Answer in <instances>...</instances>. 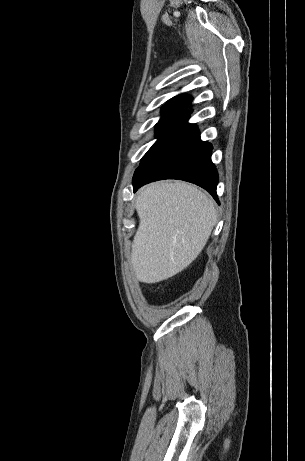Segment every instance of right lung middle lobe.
Listing matches in <instances>:
<instances>
[{
	"instance_id": "obj_1",
	"label": "right lung middle lobe",
	"mask_w": 305,
	"mask_h": 461,
	"mask_svg": "<svg viewBox=\"0 0 305 461\" xmlns=\"http://www.w3.org/2000/svg\"><path fill=\"white\" fill-rule=\"evenodd\" d=\"M161 112L162 117L156 124V137L158 140L152 145L148 152L143 156L145 158L157 145H159L170 133L179 119L187 112V109L176 107H164ZM142 158V159H143Z\"/></svg>"
}]
</instances>
